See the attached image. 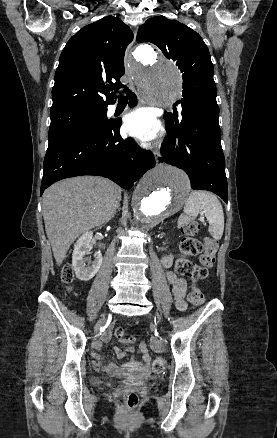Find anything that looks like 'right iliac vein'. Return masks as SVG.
I'll return each mask as SVG.
<instances>
[{
    "label": "right iliac vein",
    "mask_w": 277,
    "mask_h": 438,
    "mask_svg": "<svg viewBox=\"0 0 277 438\" xmlns=\"http://www.w3.org/2000/svg\"><path fill=\"white\" fill-rule=\"evenodd\" d=\"M105 319V315H103V317L100 319L99 324H102L104 322Z\"/></svg>",
    "instance_id": "right-iliac-vein-1"
}]
</instances>
